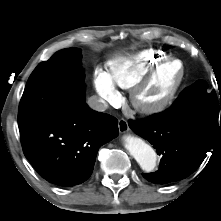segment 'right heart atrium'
<instances>
[{
    "instance_id": "right-heart-atrium-1",
    "label": "right heart atrium",
    "mask_w": 221,
    "mask_h": 221,
    "mask_svg": "<svg viewBox=\"0 0 221 221\" xmlns=\"http://www.w3.org/2000/svg\"><path fill=\"white\" fill-rule=\"evenodd\" d=\"M94 86L104 103L113 104L118 101L120 93L116 85L109 74L99 68L94 73Z\"/></svg>"
}]
</instances>
